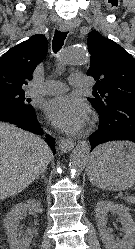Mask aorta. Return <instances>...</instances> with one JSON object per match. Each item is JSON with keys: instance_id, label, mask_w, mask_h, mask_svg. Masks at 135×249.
Segmentation results:
<instances>
[{"instance_id": "obj_1", "label": "aorta", "mask_w": 135, "mask_h": 249, "mask_svg": "<svg viewBox=\"0 0 135 249\" xmlns=\"http://www.w3.org/2000/svg\"><path fill=\"white\" fill-rule=\"evenodd\" d=\"M87 61V50L83 46H70L63 50L58 64L82 65ZM90 155V144L81 141L77 144L70 155L69 167L73 175L79 176L86 166Z\"/></svg>"}]
</instances>
